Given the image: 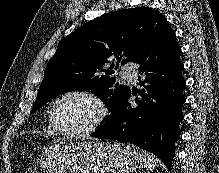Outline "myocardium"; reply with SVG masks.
I'll return each mask as SVG.
<instances>
[{
    "label": "myocardium",
    "mask_w": 219,
    "mask_h": 173,
    "mask_svg": "<svg viewBox=\"0 0 219 173\" xmlns=\"http://www.w3.org/2000/svg\"><path fill=\"white\" fill-rule=\"evenodd\" d=\"M70 96H81L84 98H87L88 100H90L96 107V115L93 118V120L86 125L85 127L79 129V130H75V131H66L63 130L57 120H56V116H55V111H56V107L57 105L65 98L70 97ZM109 114V110H108V106L106 104V102L94 91L89 90V89H72V90H68L64 93H62L61 95H59L52 103L50 110H49V115H48V120L50 122V125L52 126V128L54 129V131L63 137H67V138H78V137H82L85 135H88L92 132H94L95 130H97L106 120L107 116Z\"/></svg>",
    "instance_id": "f54148a6"
}]
</instances>
